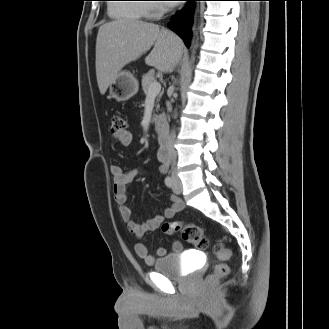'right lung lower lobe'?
<instances>
[{"label": "right lung lower lobe", "instance_id": "98d812e1", "mask_svg": "<svg viewBox=\"0 0 329 329\" xmlns=\"http://www.w3.org/2000/svg\"><path fill=\"white\" fill-rule=\"evenodd\" d=\"M185 1H201V0H185ZM193 4L189 3L186 8L177 13L174 20L171 22L169 27L176 32L185 42L186 46L189 47L191 38V24H192Z\"/></svg>", "mask_w": 329, "mask_h": 329}]
</instances>
